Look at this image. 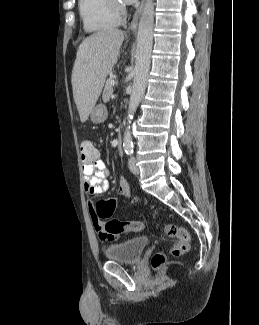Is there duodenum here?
<instances>
[{
    "label": "duodenum",
    "mask_w": 259,
    "mask_h": 325,
    "mask_svg": "<svg viewBox=\"0 0 259 325\" xmlns=\"http://www.w3.org/2000/svg\"><path fill=\"white\" fill-rule=\"evenodd\" d=\"M116 144H117V148L120 150L122 148V138L120 135H118L117 137Z\"/></svg>",
    "instance_id": "duodenum-1"
}]
</instances>
